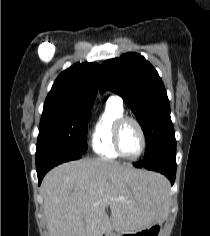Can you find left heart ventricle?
<instances>
[{
	"label": "left heart ventricle",
	"mask_w": 210,
	"mask_h": 236,
	"mask_svg": "<svg viewBox=\"0 0 210 236\" xmlns=\"http://www.w3.org/2000/svg\"><path fill=\"white\" fill-rule=\"evenodd\" d=\"M121 149L128 157L135 156L141 148V136L136 125L132 122L124 124L120 137Z\"/></svg>",
	"instance_id": "1"
}]
</instances>
